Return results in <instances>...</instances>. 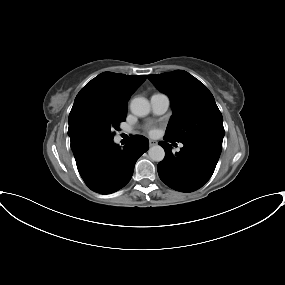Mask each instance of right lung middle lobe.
I'll use <instances>...</instances> for the list:
<instances>
[{"label": "right lung middle lobe", "mask_w": 285, "mask_h": 285, "mask_svg": "<svg viewBox=\"0 0 285 285\" xmlns=\"http://www.w3.org/2000/svg\"><path fill=\"white\" fill-rule=\"evenodd\" d=\"M126 114L111 112H86L75 123V142L113 140L114 130H119L120 122L125 121Z\"/></svg>", "instance_id": "right-lung-middle-lobe-1"}]
</instances>
